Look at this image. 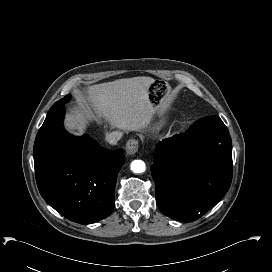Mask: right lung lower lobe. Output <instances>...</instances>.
<instances>
[{
	"label": "right lung lower lobe",
	"mask_w": 272,
	"mask_h": 272,
	"mask_svg": "<svg viewBox=\"0 0 272 272\" xmlns=\"http://www.w3.org/2000/svg\"><path fill=\"white\" fill-rule=\"evenodd\" d=\"M64 104L51 107L34 143L36 182L40 194L64 217L89 224L109 216L123 166L122 149L107 150L84 135L63 128Z\"/></svg>",
	"instance_id": "1"
}]
</instances>
